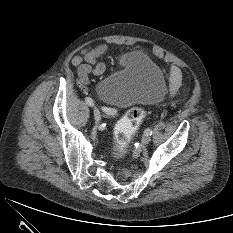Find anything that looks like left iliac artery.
Here are the masks:
<instances>
[{
  "label": "left iliac artery",
  "instance_id": "44dca946",
  "mask_svg": "<svg viewBox=\"0 0 233 233\" xmlns=\"http://www.w3.org/2000/svg\"><path fill=\"white\" fill-rule=\"evenodd\" d=\"M145 134L152 135V130L150 128H147L145 130Z\"/></svg>",
  "mask_w": 233,
  "mask_h": 233
}]
</instances>
